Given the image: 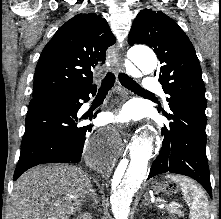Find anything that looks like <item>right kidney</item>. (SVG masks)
<instances>
[{
  "mask_svg": "<svg viewBox=\"0 0 221 219\" xmlns=\"http://www.w3.org/2000/svg\"><path fill=\"white\" fill-rule=\"evenodd\" d=\"M75 219H91L89 214H81L80 216H78Z\"/></svg>",
  "mask_w": 221,
  "mask_h": 219,
  "instance_id": "1",
  "label": "right kidney"
}]
</instances>
